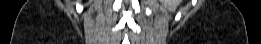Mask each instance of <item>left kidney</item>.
I'll return each mask as SVG.
<instances>
[{
  "label": "left kidney",
  "mask_w": 261,
  "mask_h": 44,
  "mask_svg": "<svg viewBox=\"0 0 261 44\" xmlns=\"http://www.w3.org/2000/svg\"><path fill=\"white\" fill-rule=\"evenodd\" d=\"M162 4L169 10L174 11L179 4V0H160Z\"/></svg>",
  "instance_id": "1"
}]
</instances>
